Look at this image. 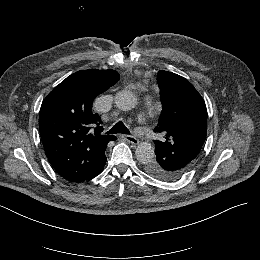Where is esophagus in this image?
<instances>
[{"mask_svg":"<svg viewBox=\"0 0 260 260\" xmlns=\"http://www.w3.org/2000/svg\"><path fill=\"white\" fill-rule=\"evenodd\" d=\"M123 138H124L126 141H128V142H130V143H132V144H134V145H137V144L139 143V140H138L136 137L131 136V135H126V134H124V135H123Z\"/></svg>","mask_w":260,"mask_h":260,"instance_id":"obj_1","label":"esophagus"}]
</instances>
